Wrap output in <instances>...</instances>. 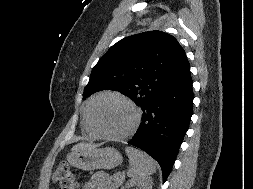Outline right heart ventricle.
Listing matches in <instances>:
<instances>
[{"label": "right heart ventricle", "instance_id": "1", "mask_svg": "<svg viewBox=\"0 0 253 189\" xmlns=\"http://www.w3.org/2000/svg\"><path fill=\"white\" fill-rule=\"evenodd\" d=\"M91 102L92 100L88 101L84 106L82 124L87 134H89L90 136H97V133L92 129L89 123V118H88V111H89Z\"/></svg>", "mask_w": 253, "mask_h": 189}]
</instances>
